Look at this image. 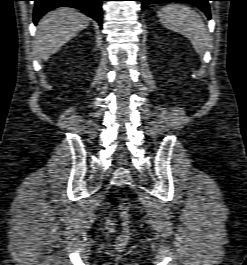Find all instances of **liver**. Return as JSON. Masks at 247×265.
<instances>
[{
  "instance_id": "liver-1",
  "label": "liver",
  "mask_w": 247,
  "mask_h": 265,
  "mask_svg": "<svg viewBox=\"0 0 247 265\" xmlns=\"http://www.w3.org/2000/svg\"><path fill=\"white\" fill-rule=\"evenodd\" d=\"M90 19L73 8H58L39 21L34 43L38 59L47 60L89 25Z\"/></svg>"
}]
</instances>
